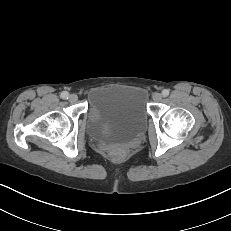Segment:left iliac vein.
<instances>
[{
	"mask_svg": "<svg viewBox=\"0 0 231 231\" xmlns=\"http://www.w3.org/2000/svg\"><path fill=\"white\" fill-rule=\"evenodd\" d=\"M162 94L161 93H158V92H155L153 95H152V99L153 101L155 102H160L162 100Z\"/></svg>",
	"mask_w": 231,
	"mask_h": 231,
	"instance_id": "obj_1",
	"label": "left iliac vein"
}]
</instances>
